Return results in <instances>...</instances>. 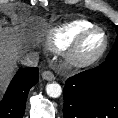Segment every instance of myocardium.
Segmentation results:
<instances>
[{
    "mask_svg": "<svg viewBox=\"0 0 118 118\" xmlns=\"http://www.w3.org/2000/svg\"><path fill=\"white\" fill-rule=\"evenodd\" d=\"M94 33H100L103 36L104 43L101 49L92 56L83 57L81 56V48L85 40ZM109 47V37L105 30L100 27L94 26L86 29L80 33L74 40L72 45L68 48L65 55L66 65L73 69H83L90 67L97 63L107 52Z\"/></svg>",
    "mask_w": 118,
    "mask_h": 118,
    "instance_id": "obj_1",
    "label": "myocardium"
}]
</instances>
